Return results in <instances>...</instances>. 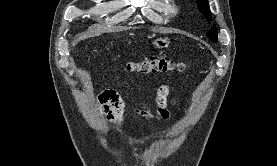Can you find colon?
Here are the masks:
<instances>
[{
    "mask_svg": "<svg viewBox=\"0 0 277 166\" xmlns=\"http://www.w3.org/2000/svg\"><path fill=\"white\" fill-rule=\"evenodd\" d=\"M184 68V64L175 63L163 56H150L139 61L128 63V69L143 74L163 73L174 69L183 70Z\"/></svg>",
    "mask_w": 277,
    "mask_h": 166,
    "instance_id": "5ec220e1",
    "label": "colon"
}]
</instances>
